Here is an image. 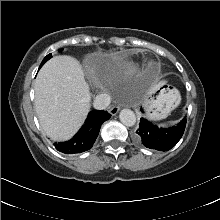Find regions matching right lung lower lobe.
<instances>
[{
  "mask_svg": "<svg viewBox=\"0 0 220 220\" xmlns=\"http://www.w3.org/2000/svg\"><path fill=\"white\" fill-rule=\"evenodd\" d=\"M110 117L111 115L104 110L91 111L79 132L67 142L55 143L56 149L65 154L81 153L89 150L98 136L102 123Z\"/></svg>",
  "mask_w": 220,
  "mask_h": 220,
  "instance_id": "1",
  "label": "right lung lower lobe"
}]
</instances>
